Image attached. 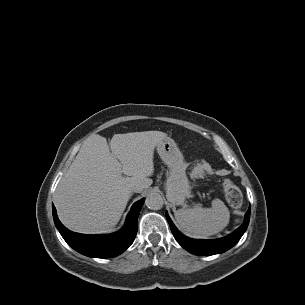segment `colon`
Returning a JSON list of instances; mask_svg holds the SVG:
<instances>
[{
	"label": "colon",
	"instance_id": "1",
	"mask_svg": "<svg viewBox=\"0 0 305 305\" xmlns=\"http://www.w3.org/2000/svg\"><path fill=\"white\" fill-rule=\"evenodd\" d=\"M223 192L228 204L239 207L242 204V194L239 188L229 179L223 181Z\"/></svg>",
	"mask_w": 305,
	"mask_h": 305
}]
</instances>
